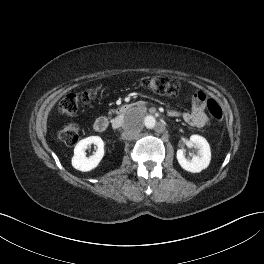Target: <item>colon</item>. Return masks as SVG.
Instances as JSON below:
<instances>
[{
  "mask_svg": "<svg viewBox=\"0 0 264 264\" xmlns=\"http://www.w3.org/2000/svg\"><path fill=\"white\" fill-rule=\"evenodd\" d=\"M140 83L143 87L158 94L177 96L180 92V86L166 77H144ZM97 94V89L69 93L61 99L59 110L65 115H75L81 106L91 103L97 97ZM206 106L209 114L216 122L223 120V110L217 101L210 99L207 101ZM57 136L65 145H75L79 140V127L75 123H68L58 131Z\"/></svg>",
  "mask_w": 264,
  "mask_h": 264,
  "instance_id": "5ec220e1",
  "label": "colon"
}]
</instances>
